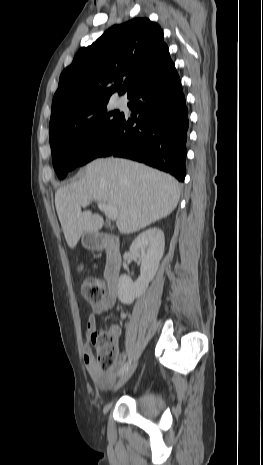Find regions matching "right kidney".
Here are the masks:
<instances>
[{"label":"right kidney","mask_w":263,"mask_h":465,"mask_svg":"<svg viewBox=\"0 0 263 465\" xmlns=\"http://www.w3.org/2000/svg\"><path fill=\"white\" fill-rule=\"evenodd\" d=\"M165 238L159 228L148 229L139 234L130 246V252L141 262L140 277L133 283L126 276L121 275L118 282V298L123 304H131L140 297L153 280L161 258L164 254Z\"/></svg>","instance_id":"right-kidney-1"}]
</instances>
